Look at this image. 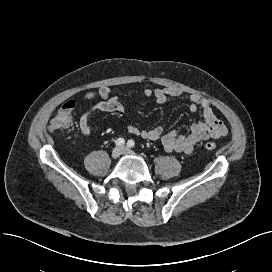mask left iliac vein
Segmentation results:
<instances>
[{"instance_id": "1", "label": "left iliac vein", "mask_w": 272, "mask_h": 272, "mask_svg": "<svg viewBox=\"0 0 272 272\" xmlns=\"http://www.w3.org/2000/svg\"><path fill=\"white\" fill-rule=\"evenodd\" d=\"M122 153L126 155H134V152L127 147H122Z\"/></svg>"}]
</instances>
